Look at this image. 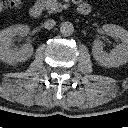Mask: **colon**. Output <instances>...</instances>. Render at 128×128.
Wrapping results in <instances>:
<instances>
[{
  "instance_id": "5ec220e1",
  "label": "colon",
  "mask_w": 128,
  "mask_h": 128,
  "mask_svg": "<svg viewBox=\"0 0 128 128\" xmlns=\"http://www.w3.org/2000/svg\"><path fill=\"white\" fill-rule=\"evenodd\" d=\"M23 3V0H4V4L7 8H17Z\"/></svg>"
}]
</instances>
